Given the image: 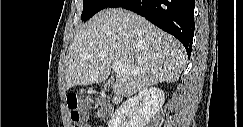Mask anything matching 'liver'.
I'll list each match as a JSON object with an SVG mask.
<instances>
[{"label":"liver","mask_w":243,"mask_h":127,"mask_svg":"<svg viewBox=\"0 0 243 127\" xmlns=\"http://www.w3.org/2000/svg\"><path fill=\"white\" fill-rule=\"evenodd\" d=\"M67 59L66 89L105 81L117 62L130 73L111 76L110 87L128 97L159 82H176L187 61L177 39L122 8L104 9L78 29Z\"/></svg>","instance_id":"1"}]
</instances>
